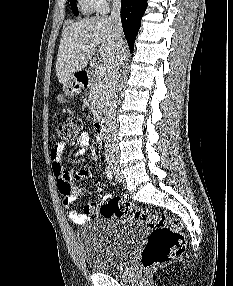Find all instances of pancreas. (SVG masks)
<instances>
[{
	"mask_svg": "<svg viewBox=\"0 0 233 286\" xmlns=\"http://www.w3.org/2000/svg\"><path fill=\"white\" fill-rule=\"evenodd\" d=\"M106 82L102 77L92 75L91 85L89 87V103L94 119L99 118L105 106L106 101Z\"/></svg>",
	"mask_w": 233,
	"mask_h": 286,
	"instance_id": "cf45deb5",
	"label": "pancreas"
}]
</instances>
